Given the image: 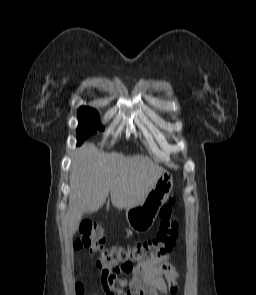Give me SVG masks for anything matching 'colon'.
Segmentation results:
<instances>
[{
    "label": "colon",
    "instance_id": "obj_1",
    "mask_svg": "<svg viewBox=\"0 0 256 295\" xmlns=\"http://www.w3.org/2000/svg\"><path fill=\"white\" fill-rule=\"evenodd\" d=\"M175 200L171 198L159 212V231L153 238L138 241L128 246L105 248L106 237L100 225L85 221L79 227V234L74 241L76 250L88 249L96 256L95 264L102 271L121 269L128 271L139 264L157 260L169 253L177 237V221L173 214ZM77 295H83L84 289L76 284Z\"/></svg>",
    "mask_w": 256,
    "mask_h": 295
}]
</instances>
